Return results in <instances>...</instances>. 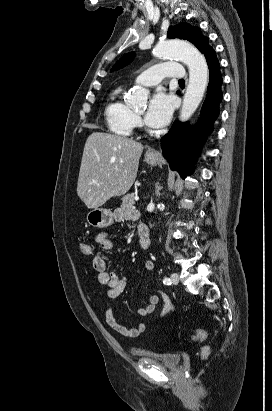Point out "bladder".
<instances>
[{
	"instance_id": "1",
	"label": "bladder",
	"mask_w": 272,
	"mask_h": 411,
	"mask_svg": "<svg viewBox=\"0 0 272 411\" xmlns=\"http://www.w3.org/2000/svg\"><path fill=\"white\" fill-rule=\"evenodd\" d=\"M144 359L148 360L149 362L164 366L169 369H175L179 367L182 362V355L180 353H155V352H146L141 355Z\"/></svg>"
}]
</instances>
